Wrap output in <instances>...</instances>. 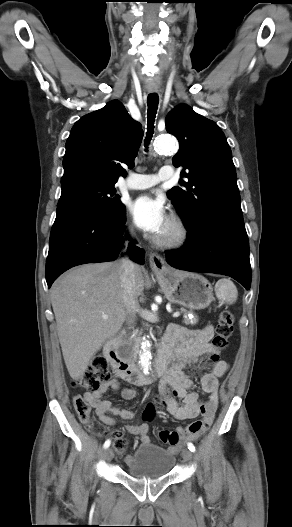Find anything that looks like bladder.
Listing matches in <instances>:
<instances>
[{
    "instance_id": "1",
    "label": "bladder",
    "mask_w": 292,
    "mask_h": 527,
    "mask_svg": "<svg viewBox=\"0 0 292 527\" xmlns=\"http://www.w3.org/2000/svg\"><path fill=\"white\" fill-rule=\"evenodd\" d=\"M175 456L167 449L147 443L125 459V471L134 478H158L170 473Z\"/></svg>"
}]
</instances>
